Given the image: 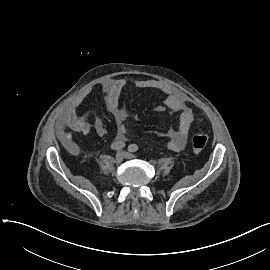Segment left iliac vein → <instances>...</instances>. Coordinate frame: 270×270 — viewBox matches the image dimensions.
<instances>
[{
    "instance_id": "1",
    "label": "left iliac vein",
    "mask_w": 270,
    "mask_h": 270,
    "mask_svg": "<svg viewBox=\"0 0 270 270\" xmlns=\"http://www.w3.org/2000/svg\"><path fill=\"white\" fill-rule=\"evenodd\" d=\"M124 155H125V158H127V159H132L135 157L133 154H131L129 152H124Z\"/></svg>"
}]
</instances>
